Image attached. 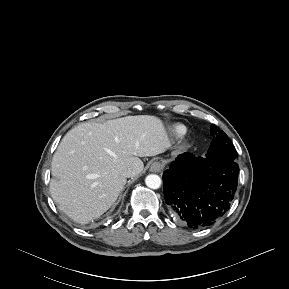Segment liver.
Instances as JSON below:
<instances>
[{
  "instance_id": "obj_1",
  "label": "liver",
  "mask_w": 289,
  "mask_h": 289,
  "mask_svg": "<svg viewBox=\"0 0 289 289\" xmlns=\"http://www.w3.org/2000/svg\"><path fill=\"white\" fill-rule=\"evenodd\" d=\"M171 141L163 122L150 115L127 116L104 124L85 122L61 140L54 153L50 193L59 209L85 224L100 217L126 184L123 171L139 175V157L165 152Z\"/></svg>"
}]
</instances>
